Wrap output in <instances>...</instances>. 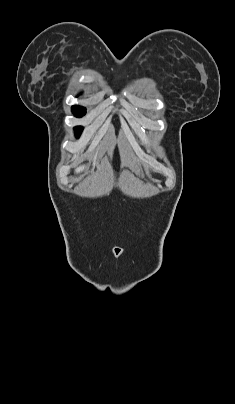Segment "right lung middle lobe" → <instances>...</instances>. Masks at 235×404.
Masks as SVG:
<instances>
[{
  "mask_svg": "<svg viewBox=\"0 0 235 404\" xmlns=\"http://www.w3.org/2000/svg\"><path fill=\"white\" fill-rule=\"evenodd\" d=\"M72 112L76 117H82V116L85 115L86 109L81 107V106H73L72 107ZM82 130H83L82 127H76L75 128V133H76L77 137L80 136Z\"/></svg>",
  "mask_w": 235,
  "mask_h": 404,
  "instance_id": "dd1d6c3e",
  "label": "right lung middle lobe"
}]
</instances>
